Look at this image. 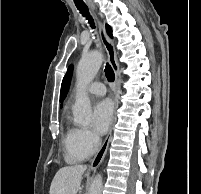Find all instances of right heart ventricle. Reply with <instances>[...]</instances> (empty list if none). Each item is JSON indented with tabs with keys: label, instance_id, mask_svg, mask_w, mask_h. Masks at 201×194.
Segmentation results:
<instances>
[{
	"label": "right heart ventricle",
	"instance_id": "right-heart-ventricle-1",
	"mask_svg": "<svg viewBox=\"0 0 201 194\" xmlns=\"http://www.w3.org/2000/svg\"><path fill=\"white\" fill-rule=\"evenodd\" d=\"M76 128L68 126L64 136V146L66 149V159L71 162H79L85 160L89 155L78 151L74 146V132Z\"/></svg>",
	"mask_w": 201,
	"mask_h": 194
}]
</instances>
